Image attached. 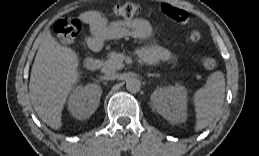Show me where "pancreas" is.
Listing matches in <instances>:
<instances>
[{
	"label": "pancreas",
	"mask_w": 259,
	"mask_h": 156,
	"mask_svg": "<svg viewBox=\"0 0 259 156\" xmlns=\"http://www.w3.org/2000/svg\"><path fill=\"white\" fill-rule=\"evenodd\" d=\"M152 51V49L147 50ZM124 55L122 53L110 52L107 60L103 63L102 71L109 73L123 68Z\"/></svg>",
	"instance_id": "pancreas-1"
}]
</instances>
